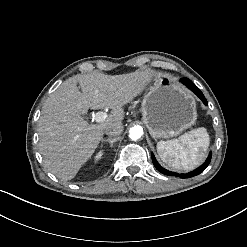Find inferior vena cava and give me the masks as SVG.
Returning a JSON list of instances; mask_svg holds the SVG:
<instances>
[{
  "instance_id": "obj_1",
  "label": "inferior vena cava",
  "mask_w": 247,
  "mask_h": 247,
  "mask_svg": "<svg viewBox=\"0 0 247 247\" xmlns=\"http://www.w3.org/2000/svg\"><path fill=\"white\" fill-rule=\"evenodd\" d=\"M124 126L121 122H114L106 126L105 134L111 137H117L122 134Z\"/></svg>"
}]
</instances>
